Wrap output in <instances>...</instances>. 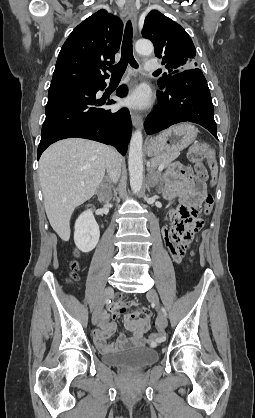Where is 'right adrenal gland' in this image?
Here are the masks:
<instances>
[{
	"mask_svg": "<svg viewBox=\"0 0 255 418\" xmlns=\"http://www.w3.org/2000/svg\"><path fill=\"white\" fill-rule=\"evenodd\" d=\"M105 181L108 182V183H111V181L108 177L105 178Z\"/></svg>",
	"mask_w": 255,
	"mask_h": 418,
	"instance_id": "2a0ac1e0",
	"label": "right adrenal gland"
}]
</instances>
